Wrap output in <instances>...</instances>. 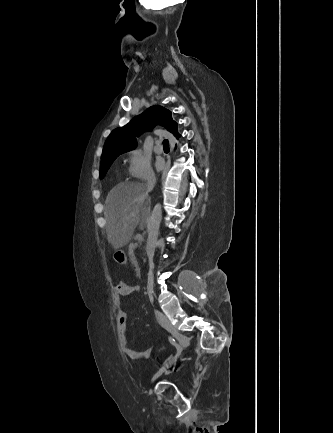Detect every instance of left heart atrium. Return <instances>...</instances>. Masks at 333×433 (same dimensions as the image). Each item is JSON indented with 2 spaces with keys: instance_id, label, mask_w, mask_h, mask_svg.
<instances>
[{
  "instance_id": "1",
  "label": "left heart atrium",
  "mask_w": 333,
  "mask_h": 433,
  "mask_svg": "<svg viewBox=\"0 0 333 433\" xmlns=\"http://www.w3.org/2000/svg\"><path fill=\"white\" fill-rule=\"evenodd\" d=\"M156 167H157V169H161V168L163 167V163H162L161 160H158V161L156 162Z\"/></svg>"
}]
</instances>
